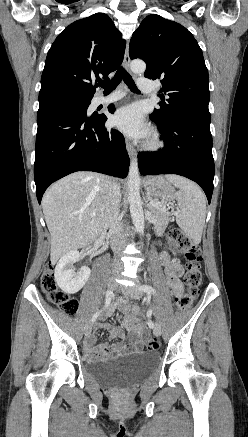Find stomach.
I'll list each match as a JSON object with an SVG mask.
<instances>
[{
	"instance_id": "obj_1",
	"label": "stomach",
	"mask_w": 248,
	"mask_h": 437,
	"mask_svg": "<svg viewBox=\"0 0 248 437\" xmlns=\"http://www.w3.org/2000/svg\"><path fill=\"white\" fill-rule=\"evenodd\" d=\"M144 186L147 194L155 200L170 204V201L174 199L173 186L164 176L147 177Z\"/></svg>"
}]
</instances>
